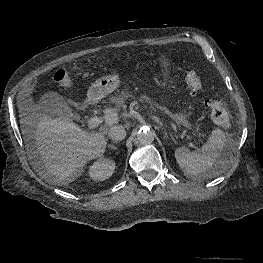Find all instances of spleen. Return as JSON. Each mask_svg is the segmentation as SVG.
<instances>
[{"instance_id": "1", "label": "spleen", "mask_w": 263, "mask_h": 263, "mask_svg": "<svg viewBox=\"0 0 263 263\" xmlns=\"http://www.w3.org/2000/svg\"><path fill=\"white\" fill-rule=\"evenodd\" d=\"M235 148L236 142L227 139L225 133L218 128L212 131L207 143L201 149L191 152L186 147H179L175 151V158L188 178L198 179L209 177L208 172L212 167L216 169L214 174L226 170L233 160Z\"/></svg>"}]
</instances>
